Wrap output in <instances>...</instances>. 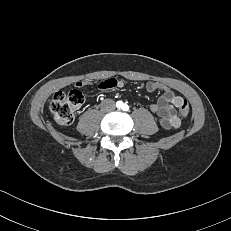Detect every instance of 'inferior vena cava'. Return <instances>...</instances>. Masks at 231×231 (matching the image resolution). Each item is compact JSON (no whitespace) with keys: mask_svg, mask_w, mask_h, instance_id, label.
<instances>
[{"mask_svg":"<svg viewBox=\"0 0 231 231\" xmlns=\"http://www.w3.org/2000/svg\"><path fill=\"white\" fill-rule=\"evenodd\" d=\"M115 108L114 101L111 99H105L101 102V109L103 111H112Z\"/></svg>","mask_w":231,"mask_h":231,"instance_id":"602c4592","label":"inferior vena cava"}]
</instances>
